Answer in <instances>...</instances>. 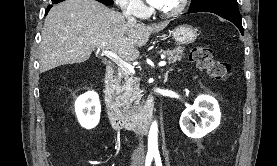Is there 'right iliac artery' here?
<instances>
[{"mask_svg":"<svg viewBox=\"0 0 277 166\" xmlns=\"http://www.w3.org/2000/svg\"><path fill=\"white\" fill-rule=\"evenodd\" d=\"M153 157H154L153 154H147L145 166H150V165H151V162H152V160H153Z\"/></svg>","mask_w":277,"mask_h":166,"instance_id":"82829eb1","label":"right iliac artery"}]
</instances>
